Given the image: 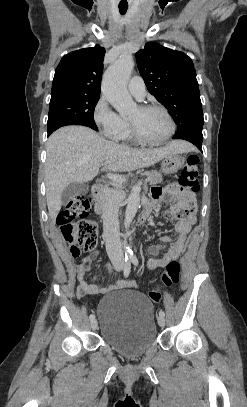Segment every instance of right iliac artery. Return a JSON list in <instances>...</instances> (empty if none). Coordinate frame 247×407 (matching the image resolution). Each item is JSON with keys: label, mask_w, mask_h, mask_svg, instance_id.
Instances as JSON below:
<instances>
[{"label": "right iliac artery", "mask_w": 247, "mask_h": 407, "mask_svg": "<svg viewBox=\"0 0 247 407\" xmlns=\"http://www.w3.org/2000/svg\"><path fill=\"white\" fill-rule=\"evenodd\" d=\"M131 270V263H130V259L128 257H125V265H124V277H128L129 273ZM89 319L92 321L93 319H95V315L91 314L89 316Z\"/></svg>", "instance_id": "1"}]
</instances>
